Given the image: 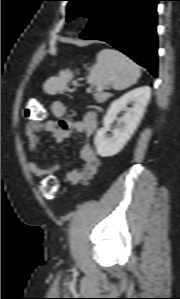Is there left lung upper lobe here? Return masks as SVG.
<instances>
[{
    "label": "left lung upper lobe",
    "mask_w": 180,
    "mask_h": 299,
    "mask_svg": "<svg viewBox=\"0 0 180 299\" xmlns=\"http://www.w3.org/2000/svg\"><path fill=\"white\" fill-rule=\"evenodd\" d=\"M67 21L79 14L90 16L101 0H67Z\"/></svg>",
    "instance_id": "5c2ea615"
}]
</instances>
